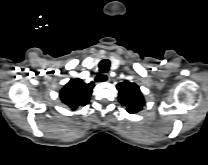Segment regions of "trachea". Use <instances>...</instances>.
I'll list each match as a JSON object with an SVG mask.
<instances>
[{
  "label": "trachea",
  "instance_id": "3493384b",
  "mask_svg": "<svg viewBox=\"0 0 208 165\" xmlns=\"http://www.w3.org/2000/svg\"><path fill=\"white\" fill-rule=\"evenodd\" d=\"M110 68V61L108 59H103L100 63H99V71L102 73H107L109 71ZM99 81V80H98Z\"/></svg>",
  "mask_w": 208,
  "mask_h": 165
}]
</instances>
